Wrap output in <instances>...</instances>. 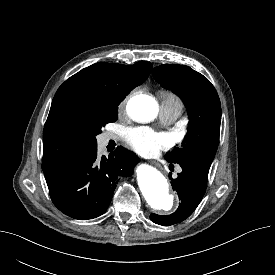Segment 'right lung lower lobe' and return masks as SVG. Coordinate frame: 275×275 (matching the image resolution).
<instances>
[{
	"label": "right lung lower lobe",
	"mask_w": 275,
	"mask_h": 275,
	"mask_svg": "<svg viewBox=\"0 0 275 275\" xmlns=\"http://www.w3.org/2000/svg\"><path fill=\"white\" fill-rule=\"evenodd\" d=\"M138 162L139 158L123 147L108 157L97 156V146L83 149L45 175L50 197L72 218H96L107 210L118 178L131 176Z\"/></svg>",
	"instance_id": "98d812e1"
}]
</instances>
